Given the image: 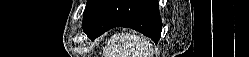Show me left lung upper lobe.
I'll return each instance as SVG.
<instances>
[{
	"label": "left lung upper lobe",
	"mask_w": 249,
	"mask_h": 57,
	"mask_svg": "<svg viewBox=\"0 0 249 57\" xmlns=\"http://www.w3.org/2000/svg\"><path fill=\"white\" fill-rule=\"evenodd\" d=\"M106 1L107 0H88L84 11L83 23L90 20Z\"/></svg>",
	"instance_id": "1"
}]
</instances>
